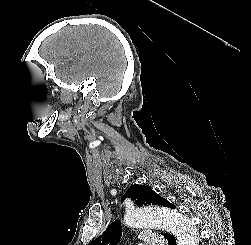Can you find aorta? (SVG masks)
Segmentation results:
<instances>
[{
  "mask_svg": "<svg viewBox=\"0 0 251 245\" xmlns=\"http://www.w3.org/2000/svg\"><path fill=\"white\" fill-rule=\"evenodd\" d=\"M124 223L131 228L161 227L177 237V245H198V230L189 218L159 207L133 208L126 212Z\"/></svg>",
  "mask_w": 251,
  "mask_h": 245,
  "instance_id": "762f6f07",
  "label": "aorta"
}]
</instances>
